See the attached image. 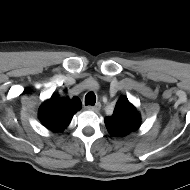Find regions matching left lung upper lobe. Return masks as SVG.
I'll list each match as a JSON object with an SVG mask.
<instances>
[{
	"instance_id": "left-lung-upper-lobe-1",
	"label": "left lung upper lobe",
	"mask_w": 190,
	"mask_h": 190,
	"mask_svg": "<svg viewBox=\"0 0 190 190\" xmlns=\"http://www.w3.org/2000/svg\"><path fill=\"white\" fill-rule=\"evenodd\" d=\"M112 136L122 137L139 129L140 115L136 108L123 96L116 103L113 115L104 119Z\"/></svg>"
}]
</instances>
